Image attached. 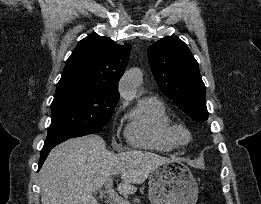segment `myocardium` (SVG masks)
Returning a JSON list of instances; mask_svg holds the SVG:
<instances>
[{"instance_id": "obj_1", "label": "myocardium", "mask_w": 261, "mask_h": 204, "mask_svg": "<svg viewBox=\"0 0 261 204\" xmlns=\"http://www.w3.org/2000/svg\"><path fill=\"white\" fill-rule=\"evenodd\" d=\"M172 133L179 144H186L192 138L190 130L181 123L172 124Z\"/></svg>"}]
</instances>
